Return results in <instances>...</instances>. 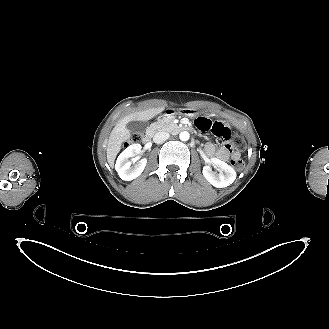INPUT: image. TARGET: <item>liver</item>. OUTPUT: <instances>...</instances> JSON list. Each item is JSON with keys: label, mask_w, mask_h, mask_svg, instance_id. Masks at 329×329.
Returning <instances> with one entry per match:
<instances>
[{"label": "liver", "mask_w": 329, "mask_h": 329, "mask_svg": "<svg viewBox=\"0 0 329 329\" xmlns=\"http://www.w3.org/2000/svg\"><path fill=\"white\" fill-rule=\"evenodd\" d=\"M164 109V106L150 108L131 113L119 120L110 133L106 149L107 161L111 167L114 166V161L121 149L122 143L131 137L130 131L126 128L127 123L134 120L147 122L157 114L161 113Z\"/></svg>", "instance_id": "1"}]
</instances>
